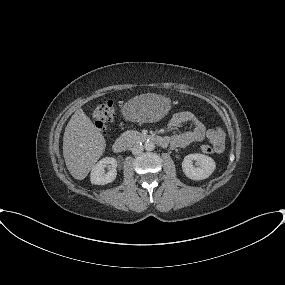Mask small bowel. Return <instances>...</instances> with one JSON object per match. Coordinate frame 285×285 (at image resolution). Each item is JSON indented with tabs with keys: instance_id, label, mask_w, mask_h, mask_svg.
Wrapping results in <instances>:
<instances>
[{
	"instance_id": "obj_1",
	"label": "small bowel",
	"mask_w": 285,
	"mask_h": 285,
	"mask_svg": "<svg viewBox=\"0 0 285 285\" xmlns=\"http://www.w3.org/2000/svg\"><path fill=\"white\" fill-rule=\"evenodd\" d=\"M187 123L192 125V129L190 131L168 138L169 145L172 148H185L192 143L201 142L208 134L206 127L201 120L190 111H180L175 113L169 119L168 126L172 128H180Z\"/></svg>"
}]
</instances>
